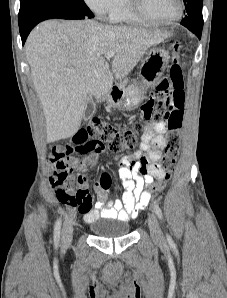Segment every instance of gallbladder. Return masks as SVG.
I'll return each instance as SVG.
<instances>
[{"instance_id":"1","label":"gallbladder","mask_w":227,"mask_h":298,"mask_svg":"<svg viewBox=\"0 0 227 298\" xmlns=\"http://www.w3.org/2000/svg\"><path fill=\"white\" fill-rule=\"evenodd\" d=\"M96 112V105L95 103L87 98V103H86V106H85V110H84V114H83V118L84 120H89Z\"/></svg>"}]
</instances>
